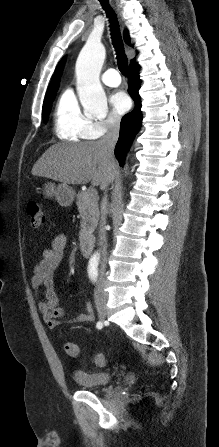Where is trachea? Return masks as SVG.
Listing matches in <instances>:
<instances>
[{
  "instance_id": "obj_1",
  "label": "trachea",
  "mask_w": 219,
  "mask_h": 447,
  "mask_svg": "<svg viewBox=\"0 0 219 447\" xmlns=\"http://www.w3.org/2000/svg\"><path fill=\"white\" fill-rule=\"evenodd\" d=\"M102 7L106 10L107 16L112 20L111 24V38L113 45L117 52V63L120 72L126 76L127 75V68H128V59L124 54V46L123 41L119 29V25L117 22V18L113 10L110 8L107 0H99Z\"/></svg>"
}]
</instances>
